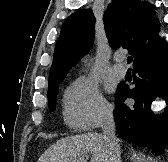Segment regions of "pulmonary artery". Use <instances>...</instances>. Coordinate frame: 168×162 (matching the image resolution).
I'll list each match as a JSON object with an SVG mask.
<instances>
[{
	"label": "pulmonary artery",
	"mask_w": 168,
	"mask_h": 162,
	"mask_svg": "<svg viewBox=\"0 0 168 162\" xmlns=\"http://www.w3.org/2000/svg\"><path fill=\"white\" fill-rule=\"evenodd\" d=\"M114 60H115V63L112 66L113 74L119 78L124 77L126 74V68L121 64L122 58L120 57V55H116Z\"/></svg>",
	"instance_id": "obj_1"
}]
</instances>
